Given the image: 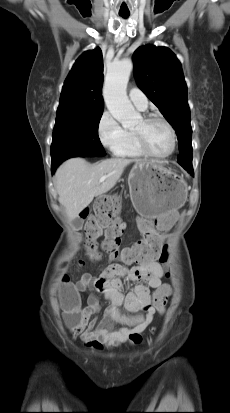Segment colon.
Instances as JSON below:
<instances>
[{"instance_id": "1", "label": "colon", "mask_w": 230, "mask_h": 413, "mask_svg": "<svg viewBox=\"0 0 230 413\" xmlns=\"http://www.w3.org/2000/svg\"><path fill=\"white\" fill-rule=\"evenodd\" d=\"M112 201V202H111ZM122 204L119 192H99V200L95 203L93 212L90 205L80 209V216L84 218V233L86 236V251L91 259L97 260L101 254L95 239L105 231L102 250L111 259L120 258L126 263H143L149 260H158L163 265L169 263V252L163 242L161 231L148 233L145 239L131 247L120 249L125 225L121 221L116 206ZM157 310L162 313L167 303V297L157 294L153 298ZM64 307L71 313H77L79 296L70 293L63 302ZM139 337L133 343H139Z\"/></svg>"}]
</instances>
